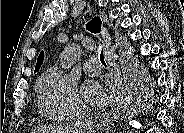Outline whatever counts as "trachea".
Instances as JSON below:
<instances>
[{
	"mask_svg": "<svg viewBox=\"0 0 184 133\" xmlns=\"http://www.w3.org/2000/svg\"><path fill=\"white\" fill-rule=\"evenodd\" d=\"M100 62L102 63V65L106 66V62L104 60L103 51H101V53H100Z\"/></svg>",
	"mask_w": 184,
	"mask_h": 133,
	"instance_id": "trachea-1",
	"label": "trachea"
}]
</instances>
